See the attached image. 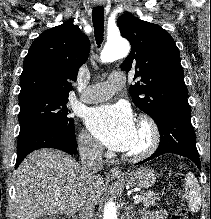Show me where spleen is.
Segmentation results:
<instances>
[{"mask_svg":"<svg viewBox=\"0 0 211 219\" xmlns=\"http://www.w3.org/2000/svg\"><path fill=\"white\" fill-rule=\"evenodd\" d=\"M185 196L187 199L188 207L191 212L198 213L201 209V189L197 178L189 172L185 179Z\"/></svg>","mask_w":211,"mask_h":219,"instance_id":"obj_1","label":"spleen"}]
</instances>
